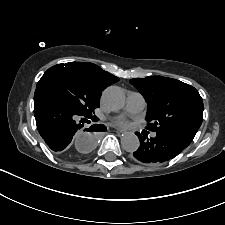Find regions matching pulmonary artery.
Returning <instances> with one entry per match:
<instances>
[{
	"label": "pulmonary artery",
	"instance_id": "e3ab8cb5",
	"mask_svg": "<svg viewBox=\"0 0 225 225\" xmlns=\"http://www.w3.org/2000/svg\"><path fill=\"white\" fill-rule=\"evenodd\" d=\"M146 106L145 98L138 92H129L127 97V103L125 111L129 113H137L142 111ZM152 137L156 136V133L151 134Z\"/></svg>",
	"mask_w": 225,
	"mask_h": 225
}]
</instances>
